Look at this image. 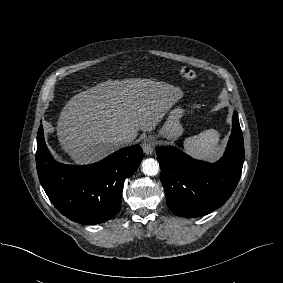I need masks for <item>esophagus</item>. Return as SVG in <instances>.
<instances>
[{
    "instance_id": "1",
    "label": "esophagus",
    "mask_w": 283,
    "mask_h": 283,
    "mask_svg": "<svg viewBox=\"0 0 283 283\" xmlns=\"http://www.w3.org/2000/svg\"><path fill=\"white\" fill-rule=\"evenodd\" d=\"M154 144H155L154 139L151 138V137H147V138H145L143 140L142 147H143L144 152L147 155H152L153 154Z\"/></svg>"
}]
</instances>
